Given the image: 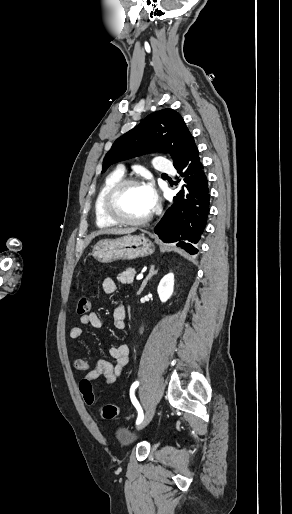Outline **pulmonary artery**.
<instances>
[{
    "label": "pulmonary artery",
    "mask_w": 292,
    "mask_h": 514,
    "mask_svg": "<svg viewBox=\"0 0 292 514\" xmlns=\"http://www.w3.org/2000/svg\"><path fill=\"white\" fill-rule=\"evenodd\" d=\"M154 169L157 172H169L171 170V163L169 161H165L162 156H157L154 159ZM117 171L121 174H124L125 172L123 167H119Z\"/></svg>",
    "instance_id": "1"
}]
</instances>
